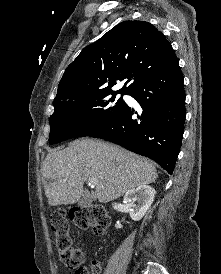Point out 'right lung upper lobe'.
<instances>
[{
    "label": "right lung upper lobe",
    "mask_w": 221,
    "mask_h": 274,
    "mask_svg": "<svg viewBox=\"0 0 221 274\" xmlns=\"http://www.w3.org/2000/svg\"><path fill=\"white\" fill-rule=\"evenodd\" d=\"M176 61L170 42L151 23L121 22L85 47L66 68L54 104L104 93L128 94ZM124 79L123 88L111 90Z\"/></svg>",
    "instance_id": "cb5924a9"
}]
</instances>
